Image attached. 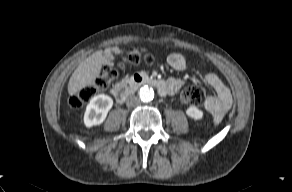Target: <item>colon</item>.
<instances>
[{"label":"colon","instance_id":"obj_1","mask_svg":"<svg viewBox=\"0 0 292 192\" xmlns=\"http://www.w3.org/2000/svg\"><path fill=\"white\" fill-rule=\"evenodd\" d=\"M145 62L151 64L153 56L142 49H129L123 56L118 66L107 65L90 84L84 86L79 91L69 97V104L72 108H80L96 94L109 88L118 76V68H123L126 64H138ZM211 93L204 87L191 86L186 88L180 96L183 103L199 105L211 98Z\"/></svg>","mask_w":292,"mask_h":192}]
</instances>
